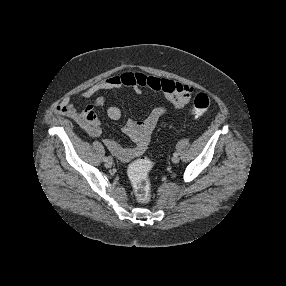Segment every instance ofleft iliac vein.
I'll use <instances>...</instances> for the list:
<instances>
[{"mask_svg": "<svg viewBox=\"0 0 286 286\" xmlns=\"http://www.w3.org/2000/svg\"><path fill=\"white\" fill-rule=\"evenodd\" d=\"M180 161L179 157L178 156H173L172 157V162L173 163H178Z\"/></svg>", "mask_w": 286, "mask_h": 286, "instance_id": "1", "label": "left iliac vein"}]
</instances>
